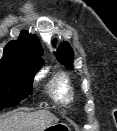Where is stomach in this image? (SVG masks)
Wrapping results in <instances>:
<instances>
[{
	"instance_id": "obj_1",
	"label": "stomach",
	"mask_w": 117,
	"mask_h": 131,
	"mask_svg": "<svg viewBox=\"0 0 117 131\" xmlns=\"http://www.w3.org/2000/svg\"><path fill=\"white\" fill-rule=\"evenodd\" d=\"M44 130L46 131H70V127L65 123H55L48 127H46Z\"/></svg>"
}]
</instances>
